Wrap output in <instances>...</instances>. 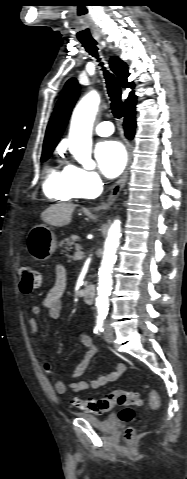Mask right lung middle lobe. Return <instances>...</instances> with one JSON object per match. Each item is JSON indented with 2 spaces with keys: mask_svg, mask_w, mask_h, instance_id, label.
<instances>
[{
  "mask_svg": "<svg viewBox=\"0 0 187 479\" xmlns=\"http://www.w3.org/2000/svg\"><path fill=\"white\" fill-rule=\"evenodd\" d=\"M51 153H52V150L43 152L42 157H41V161H46L48 159V157L51 155Z\"/></svg>",
  "mask_w": 187,
  "mask_h": 479,
  "instance_id": "obj_1",
  "label": "right lung middle lobe"
}]
</instances>
